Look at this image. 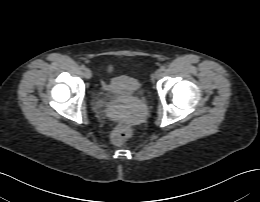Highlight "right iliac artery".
I'll return each instance as SVG.
<instances>
[{"instance_id": "1", "label": "right iliac artery", "mask_w": 260, "mask_h": 202, "mask_svg": "<svg viewBox=\"0 0 260 202\" xmlns=\"http://www.w3.org/2000/svg\"><path fill=\"white\" fill-rule=\"evenodd\" d=\"M80 69H82V70L86 69L85 65H81Z\"/></svg>"}]
</instances>
